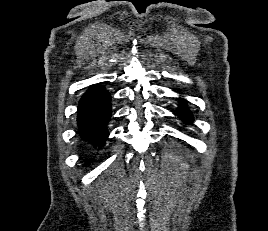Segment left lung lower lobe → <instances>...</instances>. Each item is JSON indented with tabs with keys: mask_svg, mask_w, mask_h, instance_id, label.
Masks as SVG:
<instances>
[{
	"mask_svg": "<svg viewBox=\"0 0 268 231\" xmlns=\"http://www.w3.org/2000/svg\"><path fill=\"white\" fill-rule=\"evenodd\" d=\"M183 99H180V102H183ZM177 115L185 122L191 123L193 121V115L185 105H181L178 109Z\"/></svg>",
	"mask_w": 268,
	"mask_h": 231,
	"instance_id": "left-lung-lower-lobe-1",
	"label": "left lung lower lobe"
}]
</instances>
